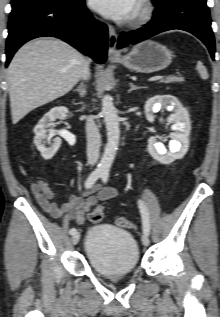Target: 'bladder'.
Segmentation results:
<instances>
[{
  "label": "bladder",
  "mask_w": 220,
  "mask_h": 317,
  "mask_svg": "<svg viewBox=\"0 0 220 317\" xmlns=\"http://www.w3.org/2000/svg\"><path fill=\"white\" fill-rule=\"evenodd\" d=\"M84 253L93 271L101 275H127L136 270L140 251L134 236L109 225L91 227L86 234Z\"/></svg>",
  "instance_id": "obj_1"
}]
</instances>
